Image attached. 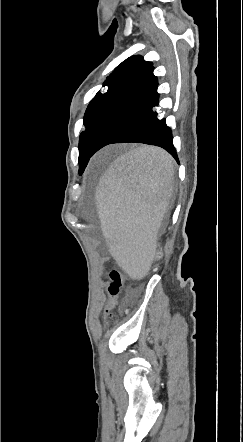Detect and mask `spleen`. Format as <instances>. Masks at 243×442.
Returning <instances> with one entry per match:
<instances>
[{"label": "spleen", "mask_w": 243, "mask_h": 442, "mask_svg": "<svg viewBox=\"0 0 243 442\" xmlns=\"http://www.w3.org/2000/svg\"><path fill=\"white\" fill-rule=\"evenodd\" d=\"M172 159L163 150L143 146L119 157L101 180L97 194V226L112 231L115 254L121 268H133L141 274L156 250L155 240L160 219L167 214V183L173 176Z\"/></svg>", "instance_id": "obj_1"}]
</instances>
